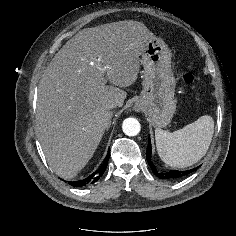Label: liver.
Segmentation results:
<instances>
[{"mask_svg": "<svg viewBox=\"0 0 236 236\" xmlns=\"http://www.w3.org/2000/svg\"><path fill=\"white\" fill-rule=\"evenodd\" d=\"M155 39L144 24L119 21L81 30L56 53L39 83L37 131L58 176L75 177L91 159L112 119L108 105H123L118 87L136 81L139 56Z\"/></svg>", "mask_w": 236, "mask_h": 236, "instance_id": "1", "label": "liver"}]
</instances>
